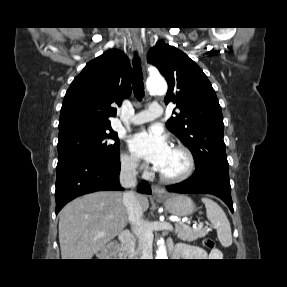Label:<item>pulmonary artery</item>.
Listing matches in <instances>:
<instances>
[{
	"instance_id": "1",
	"label": "pulmonary artery",
	"mask_w": 287,
	"mask_h": 287,
	"mask_svg": "<svg viewBox=\"0 0 287 287\" xmlns=\"http://www.w3.org/2000/svg\"><path fill=\"white\" fill-rule=\"evenodd\" d=\"M162 114V108L158 104L149 105L148 109L139 112L131 118L134 125L143 124L158 118Z\"/></svg>"
}]
</instances>
